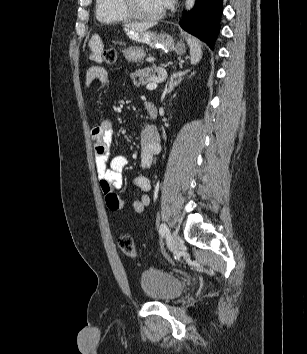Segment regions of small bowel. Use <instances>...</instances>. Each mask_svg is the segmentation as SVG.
<instances>
[{"label": "small bowel", "mask_w": 307, "mask_h": 354, "mask_svg": "<svg viewBox=\"0 0 307 354\" xmlns=\"http://www.w3.org/2000/svg\"><path fill=\"white\" fill-rule=\"evenodd\" d=\"M125 38H138L137 29H126ZM102 52L103 44L101 41H92L90 45V60L94 64L86 71L85 81L87 86L97 81L104 88L109 87L108 71L101 65L103 62ZM146 111L150 117L156 115L155 107L151 104L146 105ZM91 134L95 143V168L107 207L111 211H119L125 206L126 200L120 197L116 190L122 186V172L127 166L128 160L124 155H115L110 158L113 137V124L110 119H102L97 126L93 127ZM140 146L141 167L143 169L152 167L156 156L161 151L159 135L155 126L148 125L142 129ZM134 185L142 192V195L133 201L132 207L136 213H142L150 204L151 182L143 175H136L134 177Z\"/></svg>", "instance_id": "c3829d8e"}]
</instances>
